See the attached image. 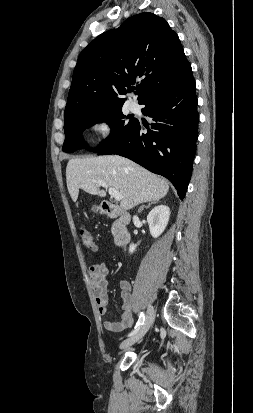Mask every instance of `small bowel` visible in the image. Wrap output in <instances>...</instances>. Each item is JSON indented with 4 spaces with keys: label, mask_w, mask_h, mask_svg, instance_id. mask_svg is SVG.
Listing matches in <instances>:
<instances>
[{
    "label": "small bowel",
    "mask_w": 253,
    "mask_h": 413,
    "mask_svg": "<svg viewBox=\"0 0 253 413\" xmlns=\"http://www.w3.org/2000/svg\"><path fill=\"white\" fill-rule=\"evenodd\" d=\"M110 270L105 261L94 262L89 269V278L95 296V302L98 313L105 316L108 313V281ZM120 288L123 292V313L119 321H104L103 326L106 330L112 332H122L129 329L134 322L133 309L131 304V284L123 279L120 281Z\"/></svg>",
    "instance_id": "1"
}]
</instances>
